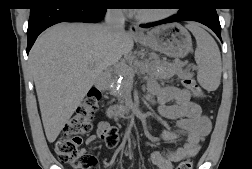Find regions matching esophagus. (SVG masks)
<instances>
[{
  "label": "esophagus",
  "mask_w": 252,
  "mask_h": 169,
  "mask_svg": "<svg viewBox=\"0 0 252 169\" xmlns=\"http://www.w3.org/2000/svg\"><path fill=\"white\" fill-rule=\"evenodd\" d=\"M129 31H130V34L133 36L142 35V32L139 30L138 26L135 24L130 25Z\"/></svg>",
  "instance_id": "obj_1"
}]
</instances>
